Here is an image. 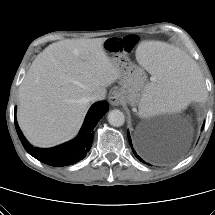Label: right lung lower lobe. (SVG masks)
Returning <instances> with one entry per match:
<instances>
[{
  "label": "right lung lower lobe",
  "instance_id": "obj_1",
  "mask_svg": "<svg viewBox=\"0 0 215 215\" xmlns=\"http://www.w3.org/2000/svg\"><path fill=\"white\" fill-rule=\"evenodd\" d=\"M108 109L109 105L106 101L96 102L88 111L79 135L68 143L49 149L31 146L23 136L16 118L14 119L15 127L20 141L30 155L47 165L63 167L76 163L86 156L92 145L93 129Z\"/></svg>",
  "mask_w": 215,
  "mask_h": 215
}]
</instances>
